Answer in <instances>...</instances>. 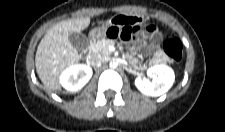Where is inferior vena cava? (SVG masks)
Here are the masks:
<instances>
[{"label": "inferior vena cava", "instance_id": "obj_1", "mask_svg": "<svg viewBox=\"0 0 225 132\" xmlns=\"http://www.w3.org/2000/svg\"><path fill=\"white\" fill-rule=\"evenodd\" d=\"M105 61V58L101 55H92L89 59V64L93 66H98Z\"/></svg>", "mask_w": 225, "mask_h": 132}]
</instances>
